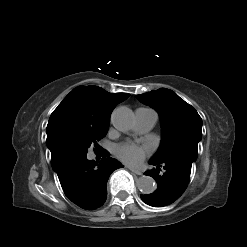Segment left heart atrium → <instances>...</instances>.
Segmentation results:
<instances>
[{
	"label": "left heart atrium",
	"mask_w": 247,
	"mask_h": 247,
	"mask_svg": "<svg viewBox=\"0 0 247 247\" xmlns=\"http://www.w3.org/2000/svg\"><path fill=\"white\" fill-rule=\"evenodd\" d=\"M149 148L132 142L118 145L115 149L117 157L130 165H138L148 153Z\"/></svg>",
	"instance_id": "1"
}]
</instances>
